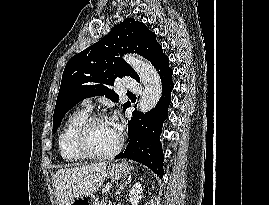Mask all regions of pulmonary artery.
Here are the masks:
<instances>
[{
  "label": "pulmonary artery",
  "instance_id": "1",
  "mask_svg": "<svg viewBox=\"0 0 269 205\" xmlns=\"http://www.w3.org/2000/svg\"><path fill=\"white\" fill-rule=\"evenodd\" d=\"M123 87L128 89V90L136 91L138 89V83H137V81L135 79H133L131 77H125L123 79ZM82 105L88 111H90L92 109V107H93L91 99H85L82 102Z\"/></svg>",
  "mask_w": 269,
  "mask_h": 205
}]
</instances>
